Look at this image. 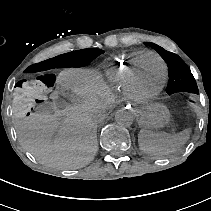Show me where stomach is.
<instances>
[{"label":"stomach","mask_w":211,"mask_h":211,"mask_svg":"<svg viewBox=\"0 0 211 211\" xmlns=\"http://www.w3.org/2000/svg\"><path fill=\"white\" fill-rule=\"evenodd\" d=\"M140 114V125L145 129H159L170 121L169 110L160 103L146 106Z\"/></svg>","instance_id":"0dacf381"}]
</instances>
